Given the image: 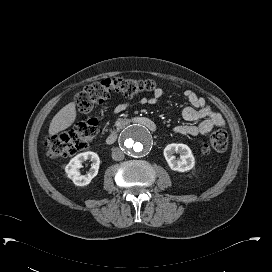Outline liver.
<instances>
[{"instance_id": "liver-1", "label": "liver", "mask_w": 272, "mask_h": 272, "mask_svg": "<svg viewBox=\"0 0 272 272\" xmlns=\"http://www.w3.org/2000/svg\"><path fill=\"white\" fill-rule=\"evenodd\" d=\"M76 119L75 103L64 106L52 119L49 126V135H55L70 127Z\"/></svg>"}]
</instances>
